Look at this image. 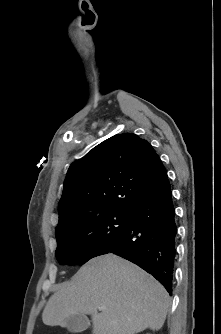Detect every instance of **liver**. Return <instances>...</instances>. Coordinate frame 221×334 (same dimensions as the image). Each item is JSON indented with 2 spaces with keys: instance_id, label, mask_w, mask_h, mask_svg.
<instances>
[{
  "instance_id": "obj_1",
  "label": "liver",
  "mask_w": 221,
  "mask_h": 334,
  "mask_svg": "<svg viewBox=\"0 0 221 334\" xmlns=\"http://www.w3.org/2000/svg\"><path fill=\"white\" fill-rule=\"evenodd\" d=\"M169 303L167 291L151 275L109 253L89 260L49 298L42 321L64 327L70 316L88 314L93 334H136L161 329Z\"/></svg>"
}]
</instances>
